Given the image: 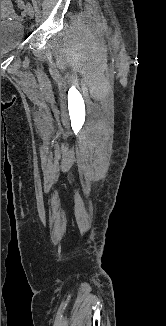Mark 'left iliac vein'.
<instances>
[{
	"label": "left iliac vein",
	"mask_w": 166,
	"mask_h": 326,
	"mask_svg": "<svg viewBox=\"0 0 166 326\" xmlns=\"http://www.w3.org/2000/svg\"><path fill=\"white\" fill-rule=\"evenodd\" d=\"M25 12L27 13V15L30 18L34 17V9H33L32 5L30 3H27V5L25 7Z\"/></svg>",
	"instance_id": "4c4485c4"
}]
</instances>
